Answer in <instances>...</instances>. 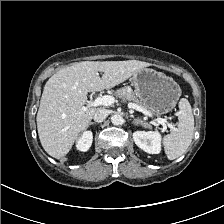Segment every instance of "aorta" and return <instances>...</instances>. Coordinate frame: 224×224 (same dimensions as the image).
<instances>
[{"label":"aorta","instance_id":"obj_1","mask_svg":"<svg viewBox=\"0 0 224 224\" xmlns=\"http://www.w3.org/2000/svg\"><path fill=\"white\" fill-rule=\"evenodd\" d=\"M111 122L113 125H121L123 124V117L119 114H115L111 117Z\"/></svg>","mask_w":224,"mask_h":224}]
</instances>
